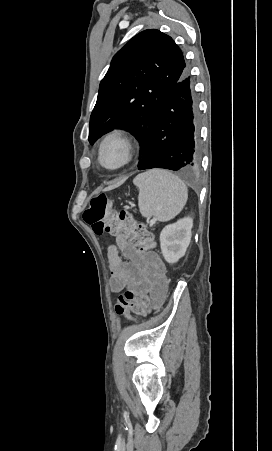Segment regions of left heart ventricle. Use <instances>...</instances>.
I'll use <instances>...</instances> for the list:
<instances>
[{
	"label": "left heart ventricle",
	"mask_w": 272,
	"mask_h": 451,
	"mask_svg": "<svg viewBox=\"0 0 272 451\" xmlns=\"http://www.w3.org/2000/svg\"><path fill=\"white\" fill-rule=\"evenodd\" d=\"M124 154L122 150L116 146L107 147L102 154V163L107 168H116L122 164Z\"/></svg>",
	"instance_id": "obj_1"
}]
</instances>
